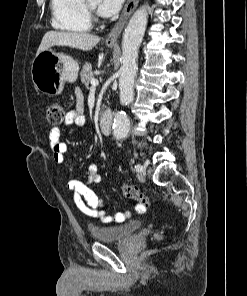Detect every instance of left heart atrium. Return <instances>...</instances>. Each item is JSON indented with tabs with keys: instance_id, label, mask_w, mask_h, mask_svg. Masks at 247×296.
I'll return each mask as SVG.
<instances>
[{
	"instance_id": "obj_1",
	"label": "left heart atrium",
	"mask_w": 247,
	"mask_h": 296,
	"mask_svg": "<svg viewBox=\"0 0 247 296\" xmlns=\"http://www.w3.org/2000/svg\"><path fill=\"white\" fill-rule=\"evenodd\" d=\"M125 0H100L99 13L105 17L115 15L122 7Z\"/></svg>"
}]
</instances>
